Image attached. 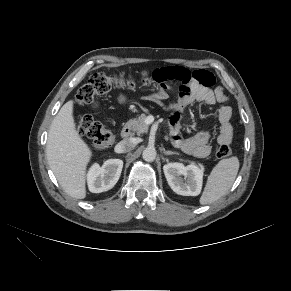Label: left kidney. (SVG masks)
I'll use <instances>...</instances> for the list:
<instances>
[{"instance_id": "obj_1", "label": "left kidney", "mask_w": 291, "mask_h": 291, "mask_svg": "<svg viewBox=\"0 0 291 291\" xmlns=\"http://www.w3.org/2000/svg\"><path fill=\"white\" fill-rule=\"evenodd\" d=\"M164 174L171 189L183 196L200 194L203 182V168L195 164L168 163L163 166Z\"/></svg>"}]
</instances>
